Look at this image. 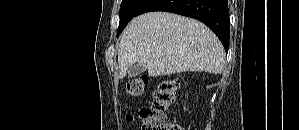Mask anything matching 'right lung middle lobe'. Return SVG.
Returning a JSON list of instances; mask_svg holds the SVG:
<instances>
[{
  "mask_svg": "<svg viewBox=\"0 0 299 130\" xmlns=\"http://www.w3.org/2000/svg\"><path fill=\"white\" fill-rule=\"evenodd\" d=\"M147 0H122L120 6V22L117 30V36L126 27L128 22L135 17L137 11Z\"/></svg>",
  "mask_w": 299,
  "mask_h": 130,
  "instance_id": "dd1d6c3e",
  "label": "right lung middle lobe"
}]
</instances>
